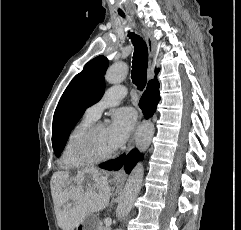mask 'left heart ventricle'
Here are the masks:
<instances>
[{"label":"left heart ventricle","instance_id":"left-heart-ventricle-1","mask_svg":"<svg viewBox=\"0 0 241 230\" xmlns=\"http://www.w3.org/2000/svg\"><path fill=\"white\" fill-rule=\"evenodd\" d=\"M93 149L97 154H104L112 150L107 139V127L101 125L93 138Z\"/></svg>","mask_w":241,"mask_h":230}]
</instances>
